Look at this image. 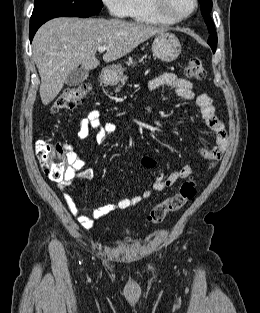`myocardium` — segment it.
Returning a JSON list of instances; mask_svg holds the SVG:
<instances>
[{"mask_svg":"<svg viewBox=\"0 0 260 313\" xmlns=\"http://www.w3.org/2000/svg\"><path fill=\"white\" fill-rule=\"evenodd\" d=\"M151 8L161 20L168 24H176L186 20L196 12L198 8V0H193V6L190 11L177 17L171 16L166 12L164 8V0H151Z\"/></svg>","mask_w":260,"mask_h":313,"instance_id":"f54148a6","label":"myocardium"}]
</instances>
